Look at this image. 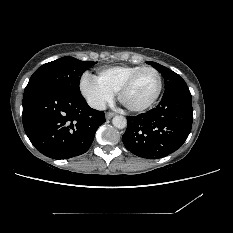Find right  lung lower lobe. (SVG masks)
I'll list each match as a JSON object with an SVG mask.
<instances>
[{
  "label": "right lung lower lobe",
  "mask_w": 233,
  "mask_h": 233,
  "mask_svg": "<svg viewBox=\"0 0 233 233\" xmlns=\"http://www.w3.org/2000/svg\"><path fill=\"white\" fill-rule=\"evenodd\" d=\"M22 121L34 147L60 160L85 153L105 115L90 108L81 93L48 88L23 96Z\"/></svg>",
  "instance_id": "right-lung-lower-lobe-1"
}]
</instances>
